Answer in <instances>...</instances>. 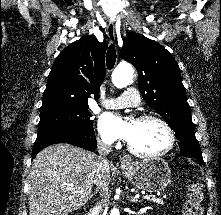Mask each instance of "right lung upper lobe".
Wrapping results in <instances>:
<instances>
[{
    "instance_id": "cb5924a9",
    "label": "right lung upper lobe",
    "mask_w": 221,
    "mask_h": 215,
    "mask_svg": "<svg viewBox=\"0 0 221 215\" xmlns=\"http://www.w3.org/2000/svg\"><path fill=\"white\" fill-rule=\"evenodd\" d=\"M106 48L105 42L85 36L59 54L48 76L40 115L86 107L90 95L98 97Z\"/></svg>"
}]
</instances>
